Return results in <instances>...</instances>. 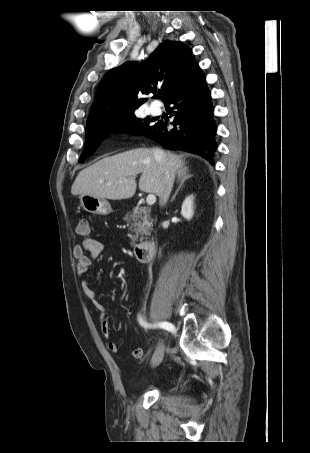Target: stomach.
I'll return each mask as SVG.
<instances>
[{
    "label": "stomach",
    "mask_w": 310,
    "mask_h": 453,
    "mask_svg": "<svg viewBox=\"0 0 310 453\" xmlns=\"http://www.w3.org/2000/svg\"><path fill=\"white\" fill-rule=\"evenodd\" d=\"M80 203L83 209L96 215H108L112 212L110 203L106 199L97 198L91 195H81Z\"/></svg>",
    "instance_id": "0dacf381"
}]
</instances>
